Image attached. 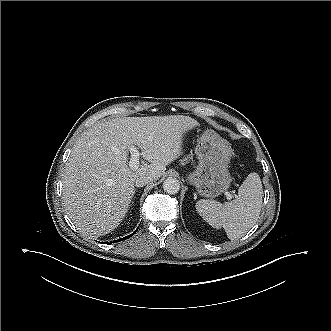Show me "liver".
<instances>
[{
    "mask_svg": "<svg viewBox=\"0 0 331 331\" xmlns=\"http://www.w3.org/2000/svg\"><path fill=\"white\" fill-rule=\"evenodd\" d=\"M196 121L188 116L126 117L100 123L73 147L63 175L69 217L87 236H101L124 219L137 177L158 180L181 155L182 134ZM132 146L150 165L127 166Z\"/></svg>",
    "mask_w": 331,
    "mask_h": 331,
    "instance_id": "liver-1",
    "label": "liver"
}]
</instances>
